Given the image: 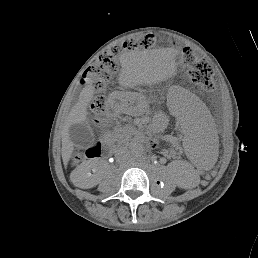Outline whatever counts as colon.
Masks as SVG:
<instances>
[{
	"mask_svg": "<svg viewBox=\"0 0 258 258\" xmlns=\"http://www.w3.org/2000/svg\"><path fill=\"white\" fill-rule=\"evenodd\" d=\"M159 41L160 37L158 35L149 33L136 39H129L122 45L112 47L109 51L99 56L86 70L84 82L91 85L97 92H101L116 71L118 57L123 51L151 48ZM183 61L190 64L188 71L191 79L201 84L205 89H211L212 69L209 63L206 60H196L188 48L183 52ZM103 108L104 101L102 97L96 96L91 102V112L98 124L104 123ZM150 142L152 146H156L154 139ZM78 159H80V156H76V160Z\"/></svg>",
	"mask_w": 258,
	"mask_h": 258,
	"instance_id": "5ec220e1",
	"label": "colon"
}]
</instances>
